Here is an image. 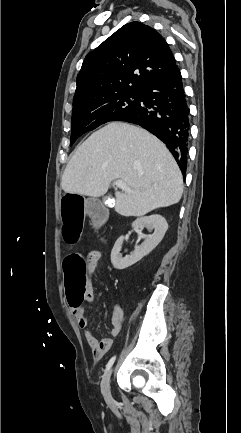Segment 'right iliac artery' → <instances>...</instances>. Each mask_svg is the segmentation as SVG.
Wrapping results in <instances>:
<instances>
[{"mask_svg": "<svg viewBox=\"0 0 241 433\" xmlns=\"http://www.w3.org/2000/svg\"><path fill=\"white\" fill-rule=\"evenodd\" d=\"M115 359H116V356H113V357L109 360V362H108L107 365H106V370H105V371H108V370L111 368V366L113 365Z\"/></svg>", "mask_w": 241, "mask_h": 433, "instance_id": "right-iliac-artery-1", "label": "right iliac artery"}]
</instances>
